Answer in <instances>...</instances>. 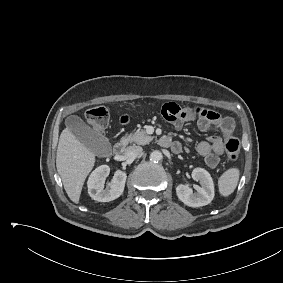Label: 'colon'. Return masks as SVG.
Instances as JSON below:
<instances>
[{"mask_svg":"<svg viewBox=\"0 0 283 283\" xmlns=\"http://www.w3.org/2000/svg\"><path fill=\"white\" fill-rule=\"evenodd\" d=\"M88 122L98 131H104L109 125L110 114L106 107L97 106L87 111ZM224 148L227 157L235 161L239 157L240 142L232 133L224 134Z\"/></svg>","mask_w":283,"mask_h":283,"instance_id":"1","label":"colon"}]
</instances>
